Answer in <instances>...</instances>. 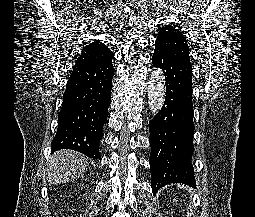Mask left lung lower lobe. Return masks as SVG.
Masks as SVG:
<instances>
[{
  "label": "left lung lower lobe",
  "mask_w": 255,
  "mask_h": 217,
  "mask_svg": "<svg viewBox=\"0 0 255 217\" xmlns=\"http://www.w3.org/2000/svg\"><path fill=\"white\" fill-rule=\"evenodd\" d=\"M155 67L166 79L164 106L149 122L151 187L156 193L170 183L195 185L193 146L192 66L188 60L155 46Z\"/></svg>",
  "instance_id": "left-lung-lower-lobe-1"
}]
</instances>
